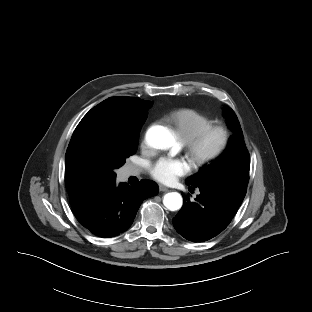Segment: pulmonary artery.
<instances>
[{"mask_svg":"<svg viewBox=\"0 0 312 312\" xmlns=\"http://www.w3.org/2000/svg\"><path fill=\"white\" fill-rule=\"evenodd\" d=\"M138 173V169L135 167H131L128 169L127 174L128 175H136Z\"/></svg>","mask_w":312,"mask_h":312,"instance_id":"obj_1","label":"pulmonary artery"}]
</instances>
